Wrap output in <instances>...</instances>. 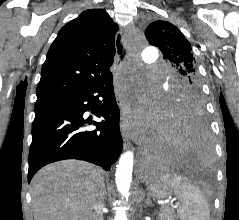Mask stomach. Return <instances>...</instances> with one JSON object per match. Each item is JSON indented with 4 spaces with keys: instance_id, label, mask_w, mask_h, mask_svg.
<instances>
[{
    "instance_id": "0dacf381",
    "label": "stomach",
    "mask_w": 239,
    "mask_h": 220,
    "mask_svg": "<svg viewBox=\"0 0 239 220\" xmlns=\"http://www.w3.org/2000/svg\"><path fill=\"white\" fill-rule=\"evenodd\" d=\"M148 191L155 198H165L170 195L172 189L168 183L153 180V183H149L148 185Z\"/></svg>"
}]
</instances>
